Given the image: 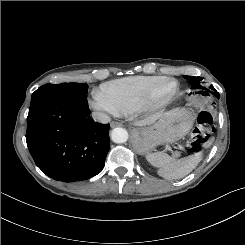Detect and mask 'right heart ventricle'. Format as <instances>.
<instances>
[{
    "mask_svg": "<svg viewBox=\"0 0 245 245\" xmlns=\"http://www.w3.org/2000/svg\"><path fill=\"white\" fill-rule=\"evenodd\" d=\"M165 78L158 75L124 77L103 83L99 92L119 115H129L138 110L146 95Z\"/></svg>",
    "mask_w": 245,
    "mask_h": 245,
    "instance_id": "e07e8e85",
    "label": "right heart ventricle"
}]
</instances>
